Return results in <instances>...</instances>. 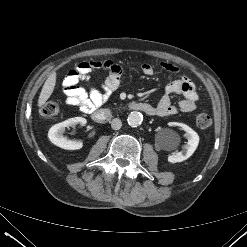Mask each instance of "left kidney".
Returning a JSON list of instances; mask_svg holds the SVG:
<instances>
[{"instance_id": "1", "label": "left kidney", "mask_w": 247, "mask_h": 247, "mask_svg": "<svg viewBox=\"0 0 247 247\" xmlns=\"http://www.w3.org/2000/svg\"><path fill=\"white\" fill-rule=\"evenodd\" d=\"M177 126L181 127L185 131V137L188 139L187 144L183 147V150L177 153H173L168 156L170 163L182 162L188 159L197 149L199 144L198 134L190 128L188 125L183 123H177ZM168 143L172 146L177 145L179 142L178 137L171 131L166 132Z\"/></svg>"}]
</instances>
